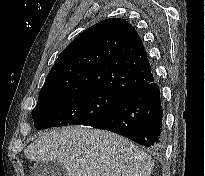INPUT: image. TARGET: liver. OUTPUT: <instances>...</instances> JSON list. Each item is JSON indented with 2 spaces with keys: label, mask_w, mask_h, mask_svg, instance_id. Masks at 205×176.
Instances as JSON below:
<instances>
[{
  "label": "liver",
  "mask_w": 205,
  "mask_h": 176,
  "mask_svg": "<svg viewBox=\"0 0 205 176\" xmlns=\"http://www.w3.org/2000/svg\"><path fill=\"white\" fill-rule=\"evenodd\" d=\"M24 155L36 162H59L67 176H150L154 166L128 139L80 127L49 130L28 145Z\"/></svg>",
  "instance_id": "obj_1"
}]
</instances>
